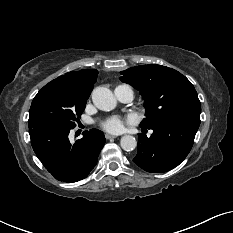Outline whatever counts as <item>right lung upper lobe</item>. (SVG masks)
<instances>
[{
  "mask_svg": "<svg viewBox=\"0 0 233 233\" xmlns=\"http://www.w3.org/2000/svg\"><path fill=\"white\" fill-rule=\"evenodd\" d=\"M97 74V70L84 69L77 72H69V74L60 76L51 82L59 84L70 92L89 97L96 82Z\"/></svg>",
  "mask_w": 233,
  "mask_h": 233,
  "instance_id": "right-lung-upper-lobe-1",
  "label": "right lung upper lobe"
}]
</instances>
